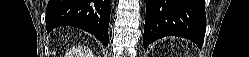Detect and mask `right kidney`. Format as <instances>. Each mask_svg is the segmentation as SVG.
<instances>
[{"instance_id": "ca27d5eb", "label": "right kidney", "mask_w": 249, "mask_h": 57, "mask_svg": "<svg viewBox=\"0 0 249 57\" xmlns=\"http://www.w3.org/2000/svg\"><path fill=\"white\" fill-rule=\"evenodd\" d=\"M85 52L90 54V57H93V55L90 53V50H85Z\"/></svg>"}]
</instances>
